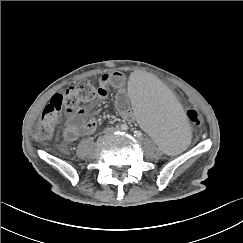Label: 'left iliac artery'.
Returning a JSON list of instances; mask_svg holds the SVG:
<instances>
[{"instance_id":"1","label":"left iliac artery","mask_w":243,"mask_h":243,"mask_svg":"<svg viewBox=\"0 0 243 243\" xmlns=\"http://www.w3.org/2000/svg\"><path fill=\"white\" fill-rule=\"evenodd\" d=\"M135 136L138 137V138L141 137V132L140 131H135Z\"/></svg>"}]
</instances>
